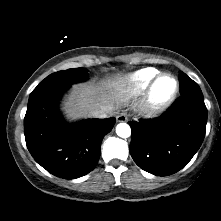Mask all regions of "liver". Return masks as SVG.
<instances>
[{"label": "liver", "instance_id": "liver-1", "mask_svg": "<svg viewBox=\"0 0 221 221\" xmlns=\"http://www.w3.org/2000/svg\"><path fill=\"white\" fill-rule=\"evenodd\" d=\"M119 107L116 93L109 86L94 84H78L73 87L64 109L69 117H90V112L99 108H107L109 115Z\"/></svg>", "mask_w": 221, "mask_h": 221}]
</instances>
